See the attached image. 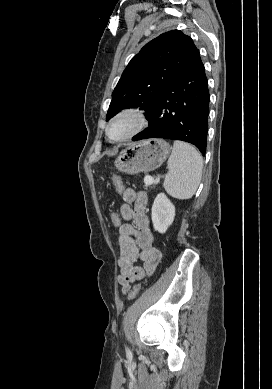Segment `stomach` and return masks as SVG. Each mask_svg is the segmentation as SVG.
<instances>
[{"label": "stomach", "instance_id": "obj_1", "mask_svg": "<svg viewBox=\"0 0 272 389\" xmlns=\"http://www.w3.org/2000/svg\"><path fill=\"white\" fill-rule=\"evenodd\" d=\"M171 147L163 139L151 138L131 144L115 160V167L130 175L150 172L169 156Z\"/></svg>", "mask_w": 272, "mask_h": 389}]
</instances>
